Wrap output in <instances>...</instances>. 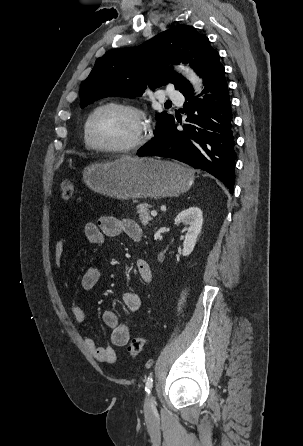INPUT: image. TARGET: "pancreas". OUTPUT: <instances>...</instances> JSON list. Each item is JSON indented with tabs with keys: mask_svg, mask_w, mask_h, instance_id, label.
I'll return each instance as SVG.
<instances>
[{
	"mask_svg": "<svg viewBox=\"0 0 303 446\" xmlns=\"http://www.w3.org/2000/svg\"><path fill=\"white\" fill-rule=\"evenodd\" d=\"M136 209L142 225H149L150 221H152V217L149 214V205L147 203H142L137 205Z\"/></svg>",
	"mask_w": 303,
	"mask_h": 446,
	"instance_id": "obj_1",
	"label": "pancreas"
}]
</instances>
